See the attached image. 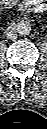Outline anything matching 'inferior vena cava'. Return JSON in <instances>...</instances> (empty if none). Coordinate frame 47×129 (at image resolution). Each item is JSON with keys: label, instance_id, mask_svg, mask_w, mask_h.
Instances as JSON below:
<instances>
[{"label": "inferior vena cava", "instance_id": "inferior-vena-cava-1", "mask_svg": "<svg viewBox=\"0 0 47 129\" xmlns=\"http://www.w3.org/2000/svg\"><path fill=\"white\" fill-rule=\"evenodd\" d=\"M16 29L15 28H9L8 30H7V32H6V34H7V37L9 38V39H13L15 36H16Z\"/></svg>", "mask_w": 47, "mask_h": 129}]
</instances>
